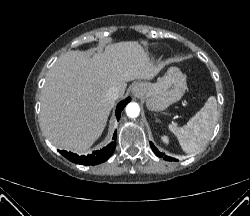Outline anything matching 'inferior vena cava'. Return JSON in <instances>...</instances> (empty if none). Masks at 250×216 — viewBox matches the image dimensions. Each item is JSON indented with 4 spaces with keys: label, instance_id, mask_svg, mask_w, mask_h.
I'll list each match as a JSON object with an SVG mask.
<instances>
[{
    "label": "inferior vena cava",
    "instance_id": "1",
    "mask_svg": "<svg viewBox=\"0 0 250 216\" xmlns=\"http://www.w3.org/2000/svg\"><path fill=\"white\" fill-rule=\"evenodd\" d=\"M106 95L108 98L116 100L120 97V91L119 89L112 87L107 90Z\"/></svg>",
    "mask_w": 250,
    "mask_h": 216
}]
</instances>
